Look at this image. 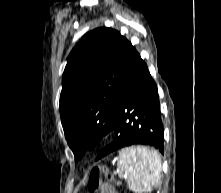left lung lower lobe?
Wrapping results in <instances>:
<instances>
[{"label":"left lung lower lobe","instance_id":"0a47b994","mask_svg":"<svg viewBox=\"0 0 221 193\" xmlns=\"http://www.w3.org/2000/svg\"><path fill=\"white\" fill-rule=\"evenodd\" d=\"M113 142L96 160L131 145H149L163 154L164 131L159 95L147 65L137 53L122 80L115 109Z\"/></svg>","mask_w":221,"mask_h":193}]
</instances>
